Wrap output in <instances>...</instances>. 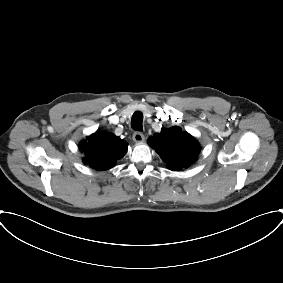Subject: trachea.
Masks as SVG:
<instances>
[{
  "mask_svg": "<svg viewBox=\"0 0 283 283\" xmlns=\"http://www.w3.org/2000/svg\"><path fill=\"white\" fill-rule=\"evenodd\" d=\"M142 120H143V115L141 112L136 111L133 115H132V119H131V127L134 130L137 131H142L143 127H142Z\"/></svg>",
  "mask_w": 283,
  "mask_h": 283,
  "instance_id": "3493384b",
  "label": "trachea"
}]
</instances>
